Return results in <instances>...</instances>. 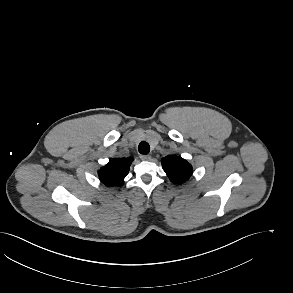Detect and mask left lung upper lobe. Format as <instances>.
<instances>
[{
	"label": "left lung upper lobe",
	"instance_id": "1",
	"mask_svg": "<svg viewBox=\"0 0 293 293\" xmlns=\"http://www.w3.org/2000/svg\"><path fill=\"white\" fill-rule=\"evenodd\" d=\"M161 163L170 181L175 184L184 183L192 175V166L181 157L168 155L161 160Z\"/></svg>",
	"mask_w": 293,
	"mask_h": 293
}]
</instances>
